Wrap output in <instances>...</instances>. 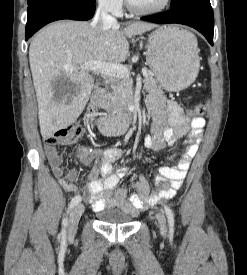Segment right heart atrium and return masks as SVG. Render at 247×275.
Returning <instances> with one entry per match:
<instances>
[{"label":"right heart atrium","instance_id":"obj_1","mask_svg":"<svg viewBox=\"0 0 247 275\" xmlns=\"http://www.w3.org/2000/svg\"><path fill=\"white\" fill-rule=\"evenodd\" d=\"M97 4L105 11L118 14L123 8V0H96Z\"/></svg>","mask_w":247,"mask_h":275}]
</instances>
